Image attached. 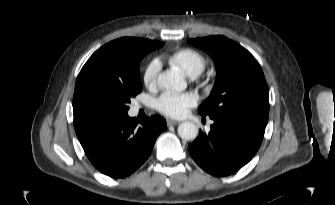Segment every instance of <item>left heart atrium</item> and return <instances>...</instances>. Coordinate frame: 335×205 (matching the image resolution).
I'll return each instance as SVG.
<instances>
[{"label":"left heart atrium","instance_id":"obj_1","mask_svg":"<svg viewBox=\"0 0 335 205\" xmlns=\"http://www.w3.org/2000/svg\"><path fill=\"white\" fill-rule=\"evenodd\" d=\"M198 102V97L191 92H165L155 102L157 110L167 116L180 118Z\"/></svg>","mask_w":335,"mask_h":205}]
</instances>
